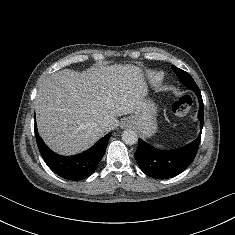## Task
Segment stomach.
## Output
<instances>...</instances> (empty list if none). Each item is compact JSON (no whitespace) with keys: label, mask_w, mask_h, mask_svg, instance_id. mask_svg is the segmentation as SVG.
<instances>
[{"label":"stomach","mask_w":235,"mask_h":235,"mask_svg":"<svg viewBox=\"0 0 235 235\" xmlns=\"http://www.w3.org/2000/svg\"><path fill=\"white\" fill-rule=\"evenodd\" d=\"M157 111L156 104L151 100L145 99L140 110L135 115L126 118L124 123L131 121L143 137H150L157 131Z\"/></svg>","instance_id":"stomach-1"}]
</instances>
